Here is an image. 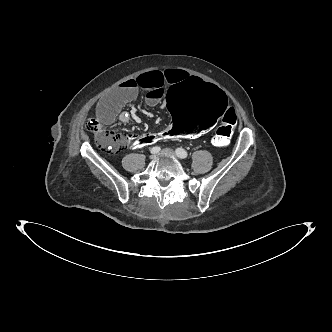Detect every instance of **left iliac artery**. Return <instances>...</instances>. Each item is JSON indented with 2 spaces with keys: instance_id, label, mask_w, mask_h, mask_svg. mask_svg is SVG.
<instances>
[{
  "instance_id": "obj_1",
  "label": "left iliac artery",
  "mask_w": 332,
  "mask_h": 332,
  "mask_svg": "<svg viewBox=\"0 0 332 332\" xmlns=\"http://www.w3.org/2000/svg\"><path fill=\"white\" fill-rule=\"evenodd\" d=\"M175 152H176V155L182 159H185L188 157L187 151L184 150L183 148H177Z\"/></svg>"
}]
</instances>
